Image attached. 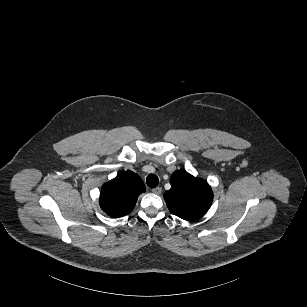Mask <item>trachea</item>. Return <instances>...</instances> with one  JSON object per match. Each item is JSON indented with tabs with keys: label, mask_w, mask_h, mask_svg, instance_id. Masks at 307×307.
Here are the masks:
<instances>
[{
	"label": "trachea",
	"mask_w": 307,
	"mask_h": 307,
	"mask_svg": "<svg viewBox=\"0 0 307 307\" xmlns=\"http://www.w3.org/2000/svg\"><path fill=\"white\" fill-rule=\"evenodd\" d=\"M146 183L150 188H155L159 184V179L156 175L150 174L146 178Z\"/></svg>",
	"instance_id": "obj_1"
}]
</instances>
